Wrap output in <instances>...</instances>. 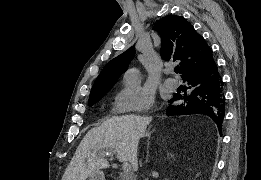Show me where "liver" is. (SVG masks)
Returning <instances> with one entry per match:
<instances>
[{"instance_id": "6515ba94", "label": "liver", "mask_w": 261, "mask_h": 180, "mask_svg": "<svg viewBox=\"0 0 261 180\" xmlns=\"http://www.w3.org/2000/svg\"><path fill=\"white\" fill-rule=\"evenodd\" d=\"M152 118L143 116H112L99 128H92L80 142L69 166L68 180H87L95 170L109 168L107 160L99 154L116 150L119 162H129L138 170V144ZM105 150V152H104Z\"/></svg>"}]
</instances>
